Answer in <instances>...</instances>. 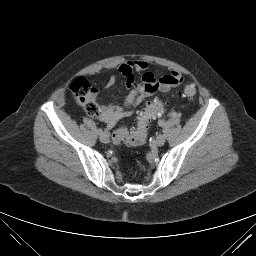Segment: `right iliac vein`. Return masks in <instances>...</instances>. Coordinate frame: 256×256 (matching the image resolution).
I'll return each mask as SVG.
<instances>
[{
  "label": "right iliac vein",
  "mask_w": 256,
  "mask_h": 256,
  "mask_svg": "<svg viewBox=\"0 0 256 256\" xmlns=\"http://www.w3.org/2000/svg\"><path fill=\"white\" fill-rule=\"evenodd\" d=\"M100 141L103 143H107L109 141V136L107 133L103 132L102 134H100Z\"/></svg>",
  "instance_id": "63e3f726"
}]
</instances>
